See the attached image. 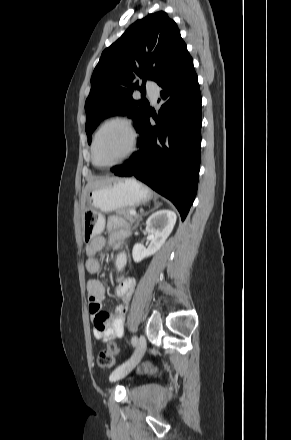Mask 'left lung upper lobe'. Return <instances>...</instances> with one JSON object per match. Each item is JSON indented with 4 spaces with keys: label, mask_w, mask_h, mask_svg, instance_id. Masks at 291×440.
<instances>
[{
    "label": "left lung upper lobe",
    "mask_w": 291,
    "mask_h": 440,
    "mask_svg": "<svg viewBox=\"0 0 291 440\" xmlns=\"http://www.w3.org/2000/svg\"><path fill=\"white\" fill-rule=\"evenodd\" d=\"M186 52L176 23L163 11L137 20L106 48L92 74L85 103L88 143L98 123L112 115L134 119L139 131L149 111V102L132 98L135 90L143 91L137 77L158 84Z\"/></svg>",
    "instance_id": "1"
}]
</instances>
